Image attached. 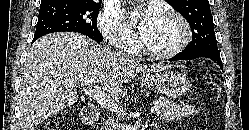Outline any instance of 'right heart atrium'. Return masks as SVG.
Returning <instances> with one entry per match:
<instances>
[{"label": "right heart atrium", "instance_id": "right-heart-atrium-1", "mask_svg": "<svg viewBox=\"0 0 249 130\" xmlns=\"http://www.w3.org/2000/svg\"><path fill=\"white\" fill-rule=\"evenodd\" d=\"M97 26L101 34L114 47L128 53L136 49V35L117 13L109 9H103L98 15Z\"/></svg>", "mask_w": 249, "mask_h": 130}]
</instances>
